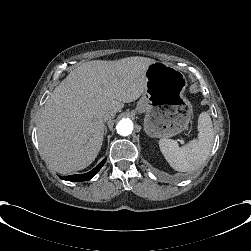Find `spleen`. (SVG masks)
<instances>
[{
  "instance_id": "1",
  "label": "spleen",
  "mask_w": 251,
  "mask_h": 251,
  "mask_svg": "<svg viewBox=\"0 0 251 251\" xmlns=\"http://www.w3.org/2000/svg\"><path fill=\"white\" fill-rule=\"evenodd\" d=\"M198 141L178 146L172 139L160 140V149L170 165L179 172H193L206 162L214 142L211 116L203 111L198 117Z\"/></svg>"
}]
</instances>
